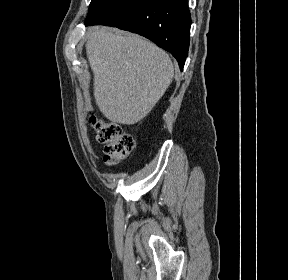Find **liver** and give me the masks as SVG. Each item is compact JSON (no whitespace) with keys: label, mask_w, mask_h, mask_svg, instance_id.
<instances>
[{"label":"liver","mask_w":288,"mask_h":280,"mask_svg":"<svg viewBox=\"0 0 288 280\" xmlns=\"http://www.w3.org/2000/svg\"><path fill=\"white\" fill-rule=\"evenodd\" d=\"M86 53L96 104L113 122L130 125L142 120L174 76L167 53L135 34L97 27L86 43Z\"/></svg>","instance_id":"liver-1"}]
</instances>
